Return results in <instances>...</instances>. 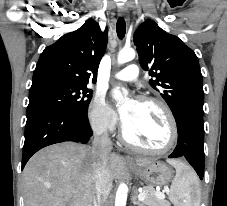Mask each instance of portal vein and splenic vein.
Here are the masks:
<instances>
[{"label":"portal vein and splenic vein","instance_id":"obj_1","mask_svg":"<svg viewBox=\"0 0 227 206\" xmlns=\"http://www.w3.org/2000/svg\"><path fill=\"white\" fill-rule=\"evenodd\" d=\"M165 191L168 192V189L165 188ZM155 195L158 197V198H161V199H164L165 198V195L164 193L160 192V191H156ZM145 193H143V191H140L139 195H138V199L139 201H143L145 199Z\"/></svg>","mask_w":227,"mask_h":206}]
</instances>
